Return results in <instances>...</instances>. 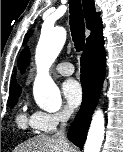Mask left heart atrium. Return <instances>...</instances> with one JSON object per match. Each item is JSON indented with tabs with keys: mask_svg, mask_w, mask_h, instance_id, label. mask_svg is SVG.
Returning a JSON list of instances; mask_svg holds the SVG:
<instances>
[{
	"mask_svg": "<svg viewBox=\"0 0 123 152\" xmlns=\"http://www.w3.org/2000/svg\"><path fill=\"white\" fill-rule=\"evenodd\" d=\"M63 96L69 108H77L83 98V91L80 83L75 79H68L62 86Z\"/></svg>",
	"mask_w": 123,
	"mask_h": 152,
	"instance_id": "1",
	"label": "left heart atrium"
}]
</instances>
